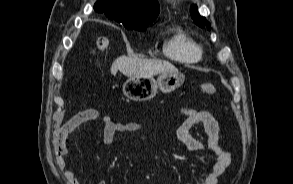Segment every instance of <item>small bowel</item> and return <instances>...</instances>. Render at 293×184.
<instances>
[{"label":"small bowel","instance_id":"c3829d8e","mask_svg":"<svg viewBox=\"0 0 293 184\" xmlns=\"http://www.w3.org/2000/svg\"><path fill=\"white\" fill-rule=\"evenodd\" d=\"M183 121L176 131L179 142L189 151H210L216 155V161L210 172L201 181L187 184H217L220 177L226 172L230 163V154L225 151L220 143V128L218 122L207 109L183 108L181 110ZM100 121L103 125V139L106 144H112L118 134L124 132H141L145 127L134 122H114L111 117L102 115L96 109H85L73 115L61 127L58 133L59 140L65 141L70 134L80 129L85 123ZM201 126V135L204 143L192 134V130ZM57 165L64 169L68 163L64 157L57 158ZM67 184H81L72 167L65 173ZM97 184H106L101 180Z\"/></svg>","mask_w":293,"mask_h":184}]
</instances>
